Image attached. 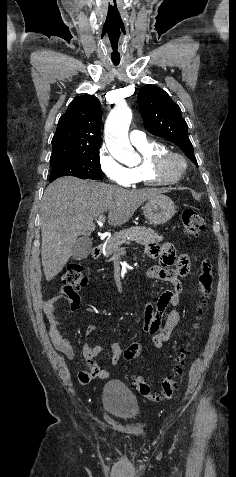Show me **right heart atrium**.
I'll use <instances>...</instances> for the list:
<instances>
[{
	"mask_svg": "<svg viewBox=\"0 0 236 477\" xmlns=\"http://www.w3.org/2000/svg\"><path fill=\"white\" fill-rule=\"evenodd\" d=\"M98 161L100 170L111 183L122 187H128L130 185L127 168L109 152L105 145L99 150Z\"/></svg>",
	"mask_w": 236,
	"mask_h": 477,
	"instance_id": "right-heart-atrium-1",
	"label": "right heart atrium"
}]
</instances>
